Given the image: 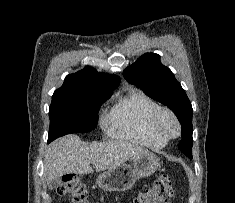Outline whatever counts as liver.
<instances>
[{"label":"liver","instance_id":"1","mask_svg":"<svg viewBox=\"0 0 235 203\" xmlns=\"http://www.w3.org/2000/svg\"><path fill=\"white\" fill-rule=\"evenodd\" d=\"M147 151L133 143L114 140L103 143L82 142L77 135H68L53 141L47 149L44 172L49 184L65 174L92 173L110 170L124 164L135 155Z\"/></svg>","mask_w":235,"mask_h":203}]
</instances>
